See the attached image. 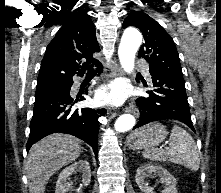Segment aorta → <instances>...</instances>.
Masks as SVG:
<instances>
[{"mask_svg": "<svg viewBox=\"0 0 221 193\" xmlns=\"http://www.w3.org/2000/svg\"><path fill=\"white\" fill-rule=\"evenodd\" d=\"M142 43V36L138 30L128 28L124 31L118 48V56L121 67L127 73H131L134 69L135 55ZM136 119L131 114L121 115L115 122L116 131L125 132L135 126Z\"/></svg>", "mask_w": 221, "mask_h": 193, "instance_id": "1", "label": "aorta"}]
</instances>
